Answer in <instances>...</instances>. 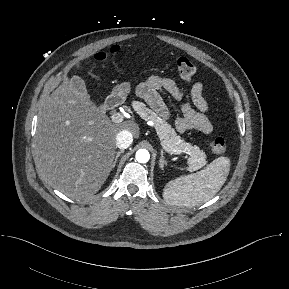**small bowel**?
<instances>
[{"instance_id":"1","label":"small bowel","mask_w":289,"mask_h":289,"mask_svg":"<svg viewBox=\"0 0 289 289\" xmlns=\"http://www.w3.org/2000/svg\"><path fill=\"white\" fill-rule=\"evenodd\" d=\"M203 91V83H194L190 91L192 101L190 104L184 101L183 94L174 80L153 75L140 84L138 95L165 119L170 117V112L164 102L163 94L169 95L180 103V115L175 118V128L178 132L193 130L209 134L213 130V125L205 115L209 106L203 96Z\"/></svg>"}]
</instances>
